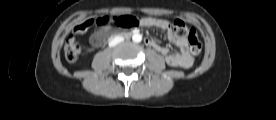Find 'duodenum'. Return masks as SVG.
I'll return each instance as SVG.
<instances>
[{"label": "duodenum", "instance_id": "410a0bca", "mask_svg": "<svg viewBox=\"0 0 276 120\" xmlns=\"http://www.w3.org/2000/svg\"><path fill=\"white\" fill-rule=\"evenodd\" d=\"M131 33H122L120 34V36H123V37H128L130 36ZM147 40V39H146ZM146 40H145V43H146Z\"/></svg>", "mask_w": 276, "mask_h": 120}]
</instances>
